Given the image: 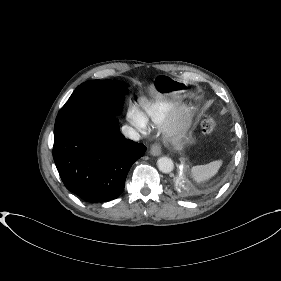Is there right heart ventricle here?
I'll return each instance as SVG.
<instances>
[{"mask_svg":"<svg viewBox=\"0 0 281 281\" xmlns=\"http://www.w3.org/2000/svg\"><path fill=\"white\" fill-rule=\"evenodd\" d=\"M180 103L169 98L140 99L139 117L144 126L165 122L179 107Z\"/></svg>","mask_w":281,"mask_h":281,"instance_id":"obj_1","label":"right heart ventricle"}]
</instances>
